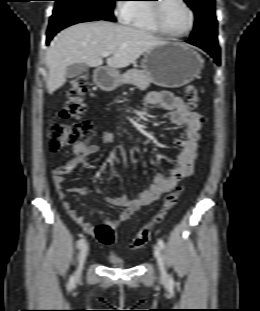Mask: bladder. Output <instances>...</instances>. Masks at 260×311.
Listing matches in <instances>:
<instances>
[{
  "label": "bladder",
  "mask_w": 260,
  "mask_h": 311,
  "mask_svg": "<svg viewBox=\"0 0 260 311\" xmlns=\"http://www.w3.org/2000/svg\"><path fill=\"white\" fill-rule=\"evenodd\" d=\"M107 261L116 267H124L125 266V262L116 254H109L107 256Z\"/></svg>",
  "instance_id": "bladder-1"
}]
</instances>
